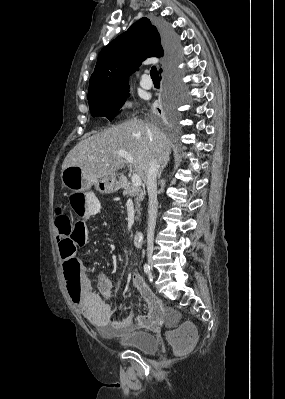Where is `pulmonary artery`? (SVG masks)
I'll return each instance as SVG.
<instances>
[{
    "instance_id": "pulmonary-artery-1",
    "label": "pulmonary artery",
    "mask_w": 285,
    "mask_h": 399,
    "mask_svg": "<svg viewBox=\"0 0 285 399\" xmlns=\"http://www.w3.org/2000/svg\"><path fill=\"white\" fill-rule=\"evenodd\" d=\"M140 85H141L142 88H144V89H146V90L152 88L153 83H152V81L150 80L148 73L144 75V77L142 78V80H141V82H140Z\"/></svg>"
}]
</instances>
